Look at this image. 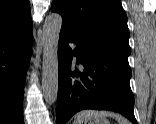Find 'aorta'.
<instances>
[{
  "label": "aorta",
  "instance_id": "obj_1",
  "mask_svg": "<svg viewBox=\"0 0 156 124\" xmlns=\"http://www.w3.org/2000/svg\"><path fill=\"white\" fill-rule=\"evenodd\" d=\"M61 27L62 17L58 13L49 14L43 25L42 91L49 105L56 102L58 95V42Z\"/></svg>",
  "mask_w": 156,
  "mask_h": 124
}]
</instances>
